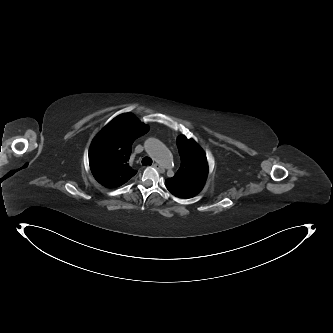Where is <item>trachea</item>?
Instances as JSON below:
<instances>
[{
    "instance_id": "1",
    "label": "trachea",
    "mask_w": 333,
    "mask_h": 333,
    "mask_svg": "<svg viewBox=\"0 0 333 333\" xmlns=\"http://www.w3.org/2000/svg\"><path fill=\"white\" fill-rule=\"evenodd\" d=\"M142 165L143 166L152 165V159L150 157H144L142 159Z\"/></svg>"
}]
</instances>
